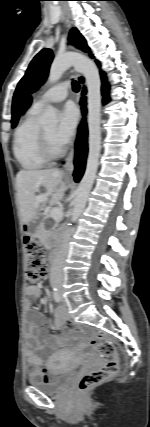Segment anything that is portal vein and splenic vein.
Returning a JSON list of instances; mask_svg holds the SVG:
<instances>
[{
  "label": "portal vein and splenic vein",
  "mask_w": 150,
  "mask_h": 427,
  "mask_svg": "<svg viewBox=\"0 0 150 427\" xmlns=\"http://www.w3.org/2000/svg\"><path fill=\"white\" fill-rule=\"evenodd\" d=\"M47 200V194H40L35 197V201L37 203H41ZM50 217L54 220H59L62 217V209L61 208H53L50 211Z\"/></svg>",
  "instance_id": "obj_1"
}]
</instances>
